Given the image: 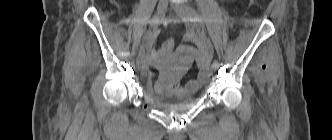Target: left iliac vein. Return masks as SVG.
<instances>
[{"instance_id": "4c4485c4", "label": "left iliac vein", "mask_w": 332, "mask_h": 140, "mask_svg": "<svg viewBox=\"0 0 332 140\" xmlns=\"http://www.w3.org/2000/svg\"><path fill=\"white\" fill-rule=\"evenodd\" d=\"M173 9L176 12V14L185 22L188 23L191 21V11L190 7L187 3L181 2V3H174ZM212 70H217V67L215 65H212Z\"/></svg>"}]
</instances>
